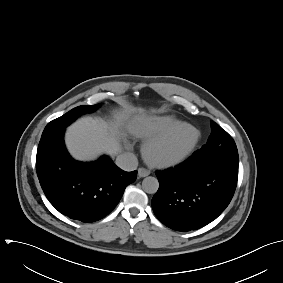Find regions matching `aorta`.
<instances>
[{
	"instance_id": "762f6f07",
	"label": "aorta",
	"mask_w": 283,
	"mask_h": 283,
	"mask_svg": "<svg viewBox=\"0 0 283 283\" xmlns=\"http://www.w3.org/2000/svg\"><path fill=\"white\" fill-rule=\"evenodd\" d=\"M142 188L148 194H154L159 188L158 179L152 176L146 177L142 181Z\"/></svg>"
}]
</instances>
